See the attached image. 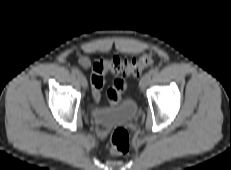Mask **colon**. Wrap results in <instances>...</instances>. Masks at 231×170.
<instances>
[{"mask_svg": "<svg viewBox=\"0 0 231 170\" xmlns=\"http://www.w3.org/2000/svg\"><path fill=\"white\" fill-rule=\"evenodd\" d=\"M153 61V54L148 52L138 58L122 59L113 57L109 60H98L92 66L91 87L95 101L100 99L101 91L105 82V74L112 72L116 75L111 88L107 92V98L111 104H117L121 94L126 88L125 77L139 75ZM130 147V137L126 129L117 128L110 138V152L124 154Z\"/></svg>", "mask_w": 231, "mask_h": 170, "instance_id": "obj_1", "label": "colon"}]
</instances>
